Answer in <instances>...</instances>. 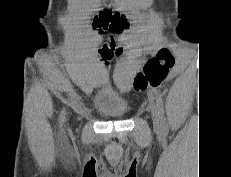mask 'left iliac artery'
Wrapping results in <instances>:
<instances>
[{"mask_svg": "<svg viewBox=\"0 0 231 177\" xmlns=\"http://www.w3.org/2000/svg\"><path fill=\"white\" fill-rule=\"evenodd\" d=\"M156 105H157L158 113L160 115V119L162 121L163 129L166 131L167 123L164 116V102L161 95L159 94H156Z\"/></svg>", "mask_w": 231, "mask_h": 177, "instance_id": "obj_1", "label": "left iliac artery"}]
</instances>
